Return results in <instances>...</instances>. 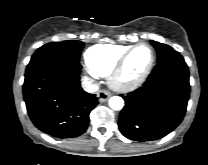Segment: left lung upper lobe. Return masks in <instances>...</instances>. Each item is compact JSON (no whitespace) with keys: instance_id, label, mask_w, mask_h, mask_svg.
<instances>
[{"instance_id":"obj_1","label":"left lung upper lobe","mask_w":208,"mask_h":165,"mask_svg":"<svg viewBox=\"0 0 208 165\" xmlns=\"http://www.w3.org/2000/svg\"><path fill=\"white\" fill-rule=\"evenodd\" d=\"M151 43L153 44V46L157 50L158 62L167 58L170 55L178 53L172 47H170L166 44H162V43H159V42H156V41H151Z\"/></svg>"}]
</instances>
